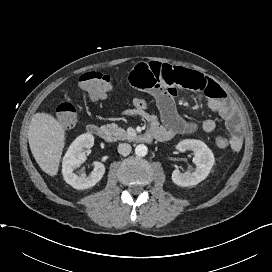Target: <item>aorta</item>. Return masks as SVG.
Instances as JSON below:
<instances>
[{
    "instance_id": "762f6f07",
    "label": "aorta",
    "mask_w": 272,
    "mask_h": 272,
    "mask_svg": "<svg viewBox=\"0 0 272 272\" xmlns=\"http://www.w3.org/2000/svg\"><path fill=\"white\" fill-rule=\"evenodd\" d=\"M147 152H148L147 146H145L144 144H139L135 148V154L139 157L146 156Z\"/></svg>"
}]
</instances>
